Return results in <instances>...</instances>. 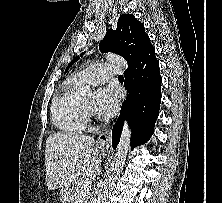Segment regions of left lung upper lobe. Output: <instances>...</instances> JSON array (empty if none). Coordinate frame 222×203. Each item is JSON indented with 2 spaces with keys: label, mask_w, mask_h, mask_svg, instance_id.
<instances>
[{
  "label": "left lung upper lobe",
  "mask_w": 222,
  "mask_h": 203,
  "mask_svg": "<svg viewBox=\"0 0 222 203\" xmlns=\"http://www.w3.org/2000/svg\"><path fill=\"white\" fill-rule=\"evenodd\" d=\"M148 39L142 23L133 14H122L117 22V29H109L99 44L101 52H113L121 55L130 66ZM84 53L81 54V56ZM79 56L67 66L66 71Z\"/></svg>",
  "instance_id": "left-lung-upper-lobe-1"
}]
</instances>
